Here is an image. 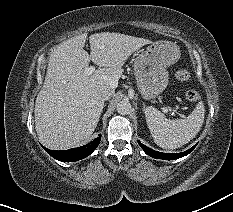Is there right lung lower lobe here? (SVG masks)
Here are the masks:
<instances>
[{
  "mask_svg": "<svg viewBox=\"0 0 233 212\" xmlns=\"http://www.w3.org/2000/svg\"><path fill=\"white\" fill-rule=\"evenodd\" d=\"M100 140H101V136L99 135L97 138H95L92 142L88 143L87 145L78 148H72L69 150H64V151H54V150H49L43 146L42 147L49 155H51L52 157H54L59 161L75 162L89 156L99 145Z\"/></svg>",
  "mask_w": 233,
  "mask_h": 212,
  "instance_id": "1",
  "label": "right lung lower lobe"
}]
</instances>
